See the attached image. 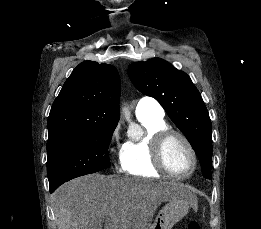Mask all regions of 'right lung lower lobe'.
Wrapping results in <instances>:
<instances>
[{
    "label": "right lung lower lobe",
    "mask_w": 261,
    "mask_h": 229,
    "mask_svg": "<svg viewBox=\"0 0 261 229\" xmlns=\"http://www.w3.org/2000/svg\"><path fill=\"white\" fill-rule=\"evenodd\" d=\"M54 192V190L50 189V193Z\"/></svg>",
    "instance_id": "obj_1"
}]
</instances>
